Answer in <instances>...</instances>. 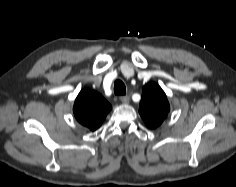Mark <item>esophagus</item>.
Listing matches in <instances>:
<instances>
[{
    "label": "esophagus",
    "mask_w": 236,
    "mask_h": 187,
    "mask_svg": "<svg viewBox=\"0 0 236 187\" xmlns=\"http://www.w3.org/2000/svg\"><path fill=\"white\" fill-rule=\"evenodd\" d=\"M120 100L123 104H128L130 102L129 96H121Z\"/></svg>",
    "instance_id": "34e87169"
}]
</instances>
